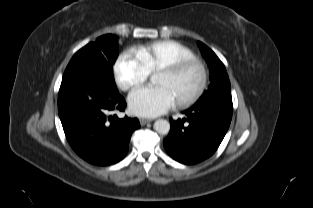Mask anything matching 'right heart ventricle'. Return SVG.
I'll return each mask as SVG.
<instances>
[{"label": "right heart ventricle", "instance_id": "1", "mask_svg": "<svg viewBox=\"0 0 313 208\" xmlns=\"http://www.w3.org/2000/svg\"><path fill=\"white\" fill-rule=\"evenodd\" d=\"M134 52L149 73L157 72L160 68L178 60L195 58L194 52L174 40H160L137 47Z\"/></svg>", "mask_w": 313, "mask_h": 208}]
</instances>
